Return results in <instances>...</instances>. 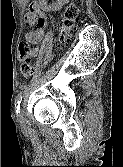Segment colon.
Listing matches in <instances>:
<instances>
[{
  "instance_id": "5ec220e1",
  "label": "colon",
  "mask_w": 123,
  "mask_h": 167,
  "mask_svg": "<svg viewBox=\"0 0 123 167\" xmlns=\"http://www.w3.org/2000/svg\"><path fill=\"white\" fill-rule=\"evenodd\" d=\"M78 13L79 9L74 3H70L65 8L59 33L60 43H65L68 40L69 34L76 23ZM29 55L30 46L28 42L22 41L18 46V57L22 60L21 73L24 78H28L33 74V63L29 59Z\"/></svg>"
}]
</instances>
